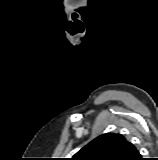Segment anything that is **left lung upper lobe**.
<instances>
[{"label": "left lung upper lobe", "instance_id": "1", "mask_svg": "<svg viewBox=\"0 0 158 160\" xmlns=\"http://www.w3.org/2000/svg\"><path fill=\"white\" fill-rule=\"evenodd\" d=\"M135 153V146L123 135L106 133L80 149L71 160H131Z\"/></svg>", "mask_w": 158, "mask_h": 160}]
</instances>
